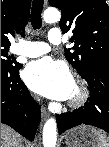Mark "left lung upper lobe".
I'll list each match as a JSON object with an SVG mask.
<instances>
[{
    "mask_svg": "<svg viewBox=\"0 0 109 147\" xmlns=\"http://www.w3.org/2000/svg\"><path fill=\"white\" fill-rule=\"evenodd\" d=\"M61 10L59 26L63 32L72 31L65 49L67 61L84 78L94 64L109 65V5L105 0H49Z\"/></svg>",
    "mask_w": 109,
    "mask_h": 147,
    "instance_id": "1",
    "label": "left lung upper lobe"
}]
</instances>
